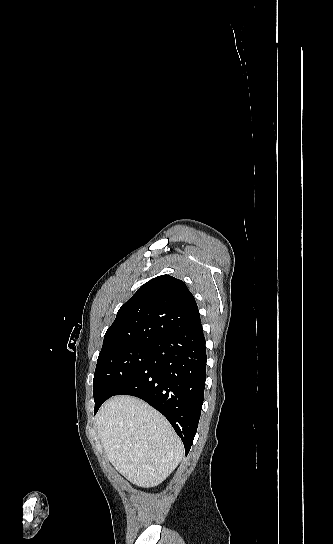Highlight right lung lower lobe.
<instances>
[{
	"label": "right lung lower lobe",
	"instance_id": "1",
	"mask_svg": "<svg viewBox=\"0 0 333 544\" xmlns=\"http://www.w3.org/2000/svg\"><path fill=\"white\" fill-rule=\"evenodd\" d=\"M206 362L200 322L154 342L147 362L115 395L136 396L162 413L183 441L187 455L201 415Z\"/></svg>",
	"mask_w": 333,
	"mask_h": 544
}]
</instances>
